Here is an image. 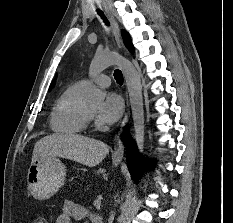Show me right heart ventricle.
<instances>
[{"label": "right heart ventricle", "instance_id": "right-heart-ventricle-1", "mask_svg": "<svg viewBox=\"0 0 233 223\" xmlns=\"http://www.w3.org/2000/svg\"><path fill=\"white\" fill-rule=\"evenodd\" d=\"M84 89L81 82H74L61 92L50 114L49 125L53 132L76 135L85 130L87 123L84 117Z\"/></svg>", "mask_w": 233, "mask_h": 223}]
</instances>
